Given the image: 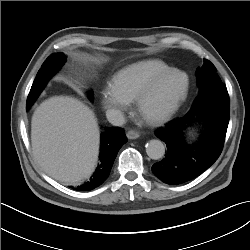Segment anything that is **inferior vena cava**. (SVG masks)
<instances>
[{"mask_svg": "<svg viewBox=\"0 0 250 250\" xmlns=\"http://www.w3.org/2000/svg\"><path fill=\"white\" fill-rule=\"evenodd\" d=\"M108 121L114 126H122L125 124V117L120 110L108 109L106 111Z\"/></svg>", "mask_w": 250, "mask_h": 250, "instance_id": "1", "label": "inferior vena cava"}]
</instances>
